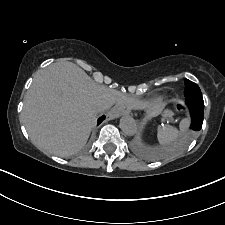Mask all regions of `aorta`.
I'll use <instances>...</instances> for the list:
<instances>
[{
  "instance_id": "762f6f07",
  "label": "aorta",
  "mask_w": 225,
  "mask_h": 225,
  "mask_svg": "<svg viewBox=\"0 0 225 225\" xmlns=\"http://www.w3.org/2000/svg\"><path fill=\"white\" fill-rule=\"evenodd\" d=\"M120 129L127 136H133L137 133V124L131 116H123L120 119Z\"/></svg>"
}]
</instances>
